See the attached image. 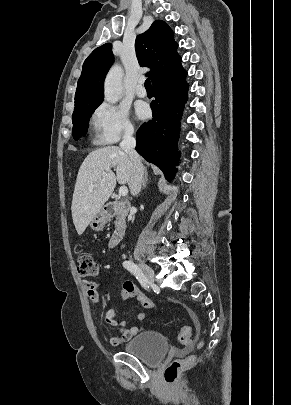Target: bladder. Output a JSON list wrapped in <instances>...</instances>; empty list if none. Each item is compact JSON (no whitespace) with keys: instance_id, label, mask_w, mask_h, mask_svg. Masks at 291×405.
<instances>
[{"instance_id":"1","label":"bladder","mask_w":291,"mask_h":405,"mask_svg":"<svg viewBox=\"0 0 291 405\" xmlns=\"http://www.w3.org/2000/svg\"><path fill=\"white\" fill-rule=\"evenodd\" d=\"M168 350L169 345L166 337L162 333L153 330L138 333L123 346L125 353L135 356L149 366L158 365L166 356Z\"/></svg>"}]
</instances>
